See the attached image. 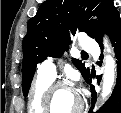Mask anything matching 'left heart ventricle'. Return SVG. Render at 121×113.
<instances>
[{
	"label": "left heart ventricle",
	"mask_w": 121,
	"mask_h": 113,
	"mask_svg": "<svg viewBox=\"0 0 121 113\" xmlns=\"http://www.w3.org/2000/svg\"><path fill=\"white\" fill-rule=\"evenodd\" d=\"M53 111L58 113L70 112L78 105L77 95L70 89H60L54 95Z\"/></svg>",
	"instance_id": "1"
}]
</instances>
